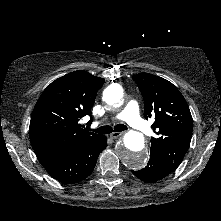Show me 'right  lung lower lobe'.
I'll return each instance as SVG.
<instances>
[{"label": "right lung lower lobe", "mask_w": 221, "mask_h": 221, "mask_svg": "<svg viewBox=\"0 0 221 221\" xmlns=\"http://www.w3.org/2000/svg\"><path fill=\"white\" fill-rule=\"evenodd\" d=\"M107 147V138L96 139L58 152L39 154L43 167L55 179L63 183H77L93 170L101 151Z\"/></svg>", "instance_id": "right-lung-lower-lobe-1"}]
</instances>
